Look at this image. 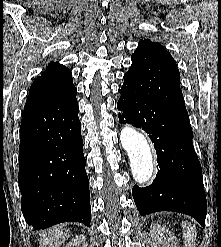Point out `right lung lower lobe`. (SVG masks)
<instances>
[{"instance_id": "1", "label": "right lung lower lobe", "mask_w": 221, "mask_h": 247, "mask_svg": "<svg viewBox=\"0 0 221 247\" xmlns=\"http://www.w3.org/2000/svg\"><path fill=\"white\" fill-rule=\"evenodd\" d=\"M76 94L75 88L23 111L18 182L22 213L34 229L68 221L90 225L89 180Z\"/></svg>"}]
</instances>
